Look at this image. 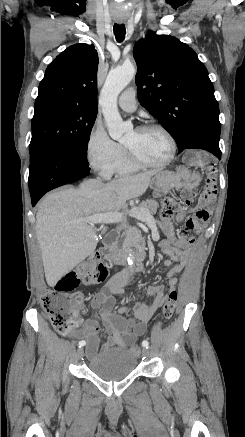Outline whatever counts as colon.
I'll return each instance as SVG.
<instances>
[{"label": "colon", "mask_w": 245, "mask_h": 437, "mask_svg": "<svg viewBox=\"0 0 245 437\" xmlns=\"http://www.w3.org/2000/svg\"><path fill=\"white\" fill-rule=\"evenodd\" d=\"M178 208L172 198L164 200L161 217L163 220L171 219ZM107 278V268L98 254H93L82 261L75 269L63 275L56 283L53 290L48 291L42 298V304L49 316L53 327L60 333L69 334L73 330L78 296L75 290L81 286H90L102 283ZM178 295L175 291L168 294L162 309L161 318L168 321L174 315ZM131 352L136 356L141 353L138 343H133Z\"/></svg>", "instance_id": "5ec220e1"}]
</instances>
